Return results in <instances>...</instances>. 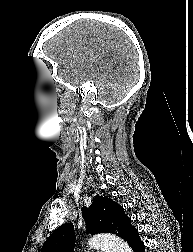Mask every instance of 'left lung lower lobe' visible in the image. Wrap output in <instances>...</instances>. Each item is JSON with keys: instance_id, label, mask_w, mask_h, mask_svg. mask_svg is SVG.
I'll return each instance as SVG.
<instances>
[{"instance_id": "obj_1", "label": "left lung lower lobe", "mask_w": 193, "mask_h": 252, "mask_svg": "<svg viewBox=\"0 0 193 252\" xmlns=\"http://www.w3.org/2000/svg\"><path fill=\"white\" fill-rule=\"evenodd\" d=\"M127 242L131 246L133 252H145L144 243L141 241L137 230L134 228L127 238Z\"/></svg>"}]
</instances>
